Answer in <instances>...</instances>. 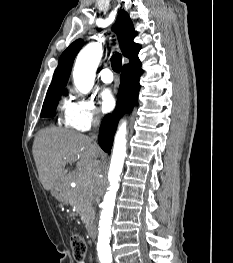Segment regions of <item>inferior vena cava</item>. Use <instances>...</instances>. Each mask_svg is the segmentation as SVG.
<instances>
[{
    "mask_svg": "<svg viewBox=\"0 0 233 263\" xmlns=\"http://www.w3.org/2000/svg\"><path fill=\"white\" fill-rule=\"evenodd\" d=\"M99 123H100V119H99L97 116H95V117L92 119V126H93L94 128H97V127L99 126Z\"/></svg>",
    "mask_w": 233,
    "mask_h": 263,
    "instance_id": "inferior-vena-cava-1",
    "label": "inferior vena cava"
}]
</instances>
